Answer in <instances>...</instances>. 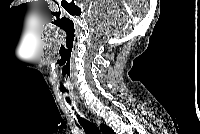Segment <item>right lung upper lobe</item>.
Instances as JSON below:
<instances>
[{
	"instance_id": "1",
	"label": "right lung upper lobe",
	"mask_w": 200,
	"mask_h": 134,
	"mask_svg": "<svg viewBox=\"0 0 200 134\" xmlns=\"http://www.w3.org/2000/svg\"><path fill=\"white\" fill-rule=\"evenodd\" d=\"M101 130H102V132H103L104 134H112V133H113L112 129L109 128V127L106 126V125H102V126H101Z\"/></svg>"
}]
</instances>
